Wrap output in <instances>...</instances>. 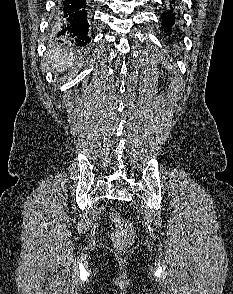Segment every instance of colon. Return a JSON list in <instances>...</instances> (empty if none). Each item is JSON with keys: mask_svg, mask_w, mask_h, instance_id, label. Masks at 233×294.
<instances>
[{"mask_svg": "<svg viewBox=\"0 0 233 294\" xmlns=\"http://www.w3.org/2000/svg\"><path fill=\"white\" fill-rule=\"evenodd\" d=\"M111 221L115 226L112 235L114 245L120 249L128 247L134 239L132 224L118 213L111 215Z\"/></svg>", "mask_w": 233, "mask_h": 294, "instance_id": "1", "label": "colon"}]
</instances>
